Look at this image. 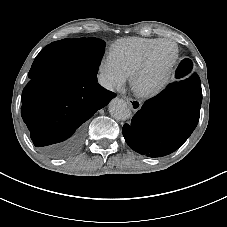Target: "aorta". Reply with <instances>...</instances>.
<instances>
[{
	"label": "aorta",
	"mask_w": 227,
	"mask_h": 227,
	"mask_svg": "<svg viewBox=\"0 0 227 227\" xmlns=\"http://www.w3.org/2000/svg\"><path fill=\"white\" fill-rule=\"evenodd\" d=\"M109 113L117 120H127L131 115L127 102L118 98L109 103Z\"/></svg>",
	"instance_id": "762f6f07"
}]
</instances>
